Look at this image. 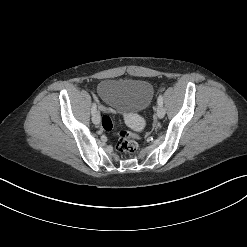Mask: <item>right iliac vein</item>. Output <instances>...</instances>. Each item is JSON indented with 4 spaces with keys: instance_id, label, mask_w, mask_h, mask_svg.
<instances>
[{
    "instance_id": "1",
    "label": "right iliac vein",
    "mask_w": 247,
    "mask_h": 247,
    "mask_svg": "<svg viewBox=\"0 0 247 247\" xmlns=\"http://www.w3.org/2000/svg\"><path fill=\"white\" fill-rule=\"evenodd\" d=\"M100 120H101L100 113L99 112H95L93 114L92 121L94 122V124H99Z\"/></svg>"
}]
</instances>
